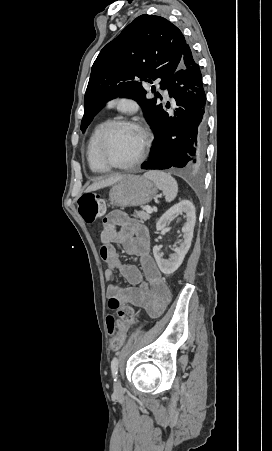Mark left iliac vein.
Segmentation results:
<instances>
[{
  "instance_id": "left-iliac-vein-1",
  "label": "left iliac vein",
  "mask_w": 272,
  "mask_h": 451,
  "mask_svg": "<svg viewBox=\"0 0 272 451\" xmlns=\"http://www.w3.org/2000/svg\"><path fill=\"white\" fill-rule=\"evenodd\" d=\"M114 388H115V391H117L120 388V385L118 382H115Z\"/></svg>"
}]
</instances>
